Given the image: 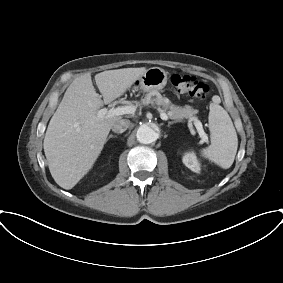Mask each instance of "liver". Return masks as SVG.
Segmentation results:
<instances>
[{
	"mask_svg": "<svg viewBox=\"0 0 283 283\" xmlns=\"http://www.w3.org/2000/svg\"><path fill=\"white\" fill-rule=\"evenodd\" d=\"M145 67L108 70L95 75L103 96L96 93L91 74L73 80L52 116L44 138L50 173L62 188L72 189L99 157L113 124L121 116H97L103 104L122 96L145 72Z\"/></svg>",
	"mask_w": 283,
	"mask_h": 283,
	"instance_id": "6515ba94",
	"label": "liver"
}]
</instances>
